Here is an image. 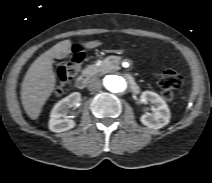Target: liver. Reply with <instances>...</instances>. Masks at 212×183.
I'll use <instances>...</instances> for the list:
<instances>
[{"mask_svg":"<svg viewBox=\"0 0 212 183\" xmlns=\"http://www.w3.org/2000/svg\"><path fill=\"white\" fill-rule=\"evenodd\" d=\"M101 45V42H87L88 49ZM71 51V41L64 40L41 54L29 67L21 87V101L26 114L37 119L45 102L56 86V75L53 71V58L63 59Z\"/></svg>","mask_w":212,"mask_h":183,"instance_id":"6515ba94","label":"liver"}]
</instances>
